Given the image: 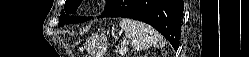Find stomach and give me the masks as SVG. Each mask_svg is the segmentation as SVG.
I'll list each match as a JSON object with an SVG mask.
<instances>
[{
  "mask_svg": "<svg viewBox=\"0 0 249 57\" xmlns=\"http://www.w3.org/2000/svg\"><path fill=\"white\" fill-rule=\"evenodd\" d=\"M86 44L91 57H103L108 47L107 36L106 34L94 35Z\"/></svg>",
  "mask_w": 249,
  "mask_h": 57,
  "instance_id": "0dacf381",
  "label": "stomach"
}]
</instances>
